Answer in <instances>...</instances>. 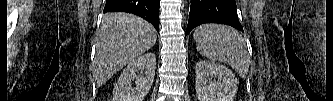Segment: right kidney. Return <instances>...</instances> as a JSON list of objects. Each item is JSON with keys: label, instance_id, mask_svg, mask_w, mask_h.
<instances>
[{"label": "right kidney", "instance_id": "right-kidney-1", "mask_svg": "<svg viewBox=\"0 0 333 101\" xmlns=\"http://www.w3.org/2000/svg\"><path fill=\"white\" fill-rule=\"evenodd\" d=\"M155 68L154 53H147L129 62L114 87L113 101H143L154 81ZM144 69L143 76L136 75V72ZM134 80L136 87L132 86Z\"/></svg>", "mask_w": 333, "mask_h": 101}]
</instances>
